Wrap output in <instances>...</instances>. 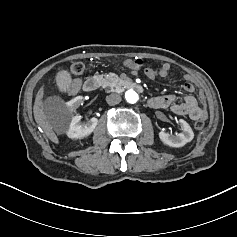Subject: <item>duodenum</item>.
<instances>
[{"instance_id":"duodenum-1","label":"duodenum","mask_w":237,"mask_h":237,"mask_svg":"<svg viewBox=\"0 0 237 237\" xmlns=\"http://www.w3.org/2000/svg\"><path fill=\"white\" fill-rule=\"evenodd\" d=\"M126 85L129 88H132L138 92L143 91L142 85L137 83L136 81L127 80ZM99 86H100V79L97 77H90L84 82L83 90L86 92H93V91L97 90L99 88Z\"/></svg>"}]
</instances>
